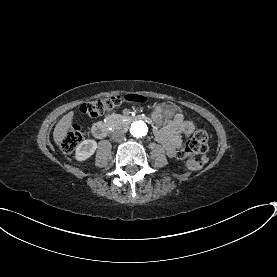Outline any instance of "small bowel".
<instances>
[{"label":"small bowel","mask_w":277,"mask_h":277,"mask_svg":"<svg viewBox=\"0 0 277 277\" xmlns=\"http://www.w3.org/2000/svg\"><path fill=\"white\" fill-rule=\"evenodd\" d=\"M153 119L158 124L154 132L156 140L163 145L170 157H174L182 145L183 136L193 133L194 123L184 119L179 112H175L169 121H164L163 108L160 106L155 108Z\"/></svg>","instance_id":"1"}]
</instances>
